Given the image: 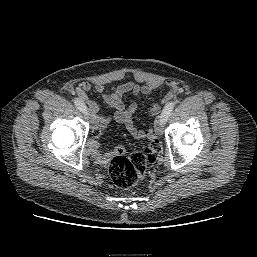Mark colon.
Wrapping results in <instances>:
<instances>
[{
  "mask_svg": "<svg viewBox=\"0 0 257 257\" xmlns=\"http://www.w3.org/2000/svg\"><path fill=\"white\" fill-rule=\"evenodd\" d=\"M102 133V129L96 126L93 129V136L98 137ZM90 149L99 161H104L98 152V144L95 140L90 143ZM161 146L158 141H153L149 147L143 151H136L127 154L122 146L116 147L110 153L109 172L114 185L120 189L131 188L138 184L143 178L149 164L153 163Z\"/></svg>",
  "mask_w": 257,
  "mask_h": 257,
  "instance_id": "5ec220e1",
  "label": "colon"
}]
</instances>
